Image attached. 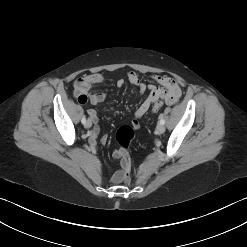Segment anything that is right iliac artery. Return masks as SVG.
Returning <instances> with one entry per match:
<instances>
[{
    "instance_id": "1",
    "label": "right iliac artery",
    "mask_w": 247,
    "mask_h": 247,
    "mask_svg": "<svg viewBox=\"0 0 247 247\" xmlns=\"http://www.w3.org/2000/svg\"><path fill=\"white\" fill-rule=\"evenodd\" d=\"M81 122H82L83 124H85V123H86V118L83 117L82 120H81Z\"/></svg>"
}]
</instances>
